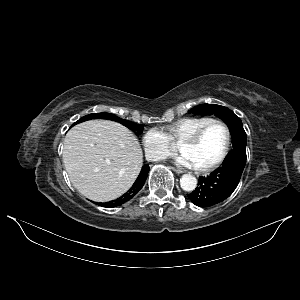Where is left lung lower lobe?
Segmentation results:
<instances>
[{
	"label": "left lung lower lobe",
	"instance_id": "1",
	"mask_svg": "<svg viewBox=\"0 0 300 300\" xmlns=\"http://www.w3.org/2000/svg\"><path fill=\"white\" fill-rule=\"evenodd\" d=\"M246 163V151L233 149L223 165L207 177H199L198 187L188 198L199 207H210L228 198L237 187Z\"/></svg>",
	"mask_w": 300,
	"mask_h": 300
}]
</instances>
